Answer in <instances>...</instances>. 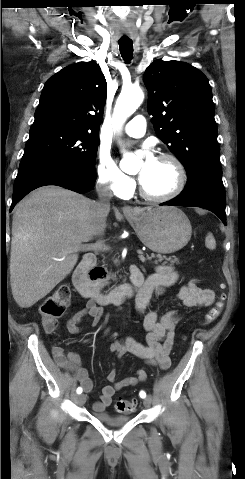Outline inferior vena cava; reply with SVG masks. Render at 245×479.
I'll list each match as a JSON object with an SVG mask.
<instances>
[{"label": "inferior vena cava", "instance_id": "602c4592", "mask_svg": "<svg viewBox=\"0 0 245 479\" xmlns=\"http://www.w3.org/2000/svg\"><path fill=\"white\" fill-rule=\"evenodd\" d=\"M98 201L90 202L91 215L97 227V235L102 236L106 227V217L110 211L111 190L104 182L98 181L96 185Z\"/></svg>", "mask_w": 245, "mask_h": 479}]
</instances>
